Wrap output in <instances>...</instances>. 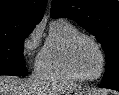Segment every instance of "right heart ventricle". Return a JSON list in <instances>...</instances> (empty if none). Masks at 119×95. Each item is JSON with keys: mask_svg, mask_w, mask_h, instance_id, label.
<instances>
[{"mask_svg": "<svg viewBox=\"0 0 119 95\" xmlns=\"http://www.w3.org/2000/svg\"><path fill=\"white\" fill-rule=\"evenodd\" d=\"M79 33V30L69 21L65 19L53 20L37 57L36 72L49 78L79 80L66 63L67 45Z\"/></svg>", "mask_w": 119, "mask_h": 95, "instance_id": "1", "label": "right heart ventricle"}]
</instances>
